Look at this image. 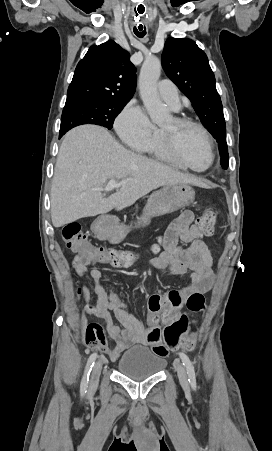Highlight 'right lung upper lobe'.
Here are the masks:
<instances>
[{
  "mask_svg": "<svg viewBox=\"0 0 272 451\" xmlns=\"http://www.w3.org/2000/svg\"><path fill=\"white\" fill-rule=\"evenodd\" d=\"M129 58L112 40L91 46L75 69L66 102L84 98L129 101L136 88V68Z\"/></svg>",
  "mask_w": 272,
  "mask_h": 451,
  "instance_id": "cb5924a9",
  "label": "right lung upper lobe"
}]
</instances>
